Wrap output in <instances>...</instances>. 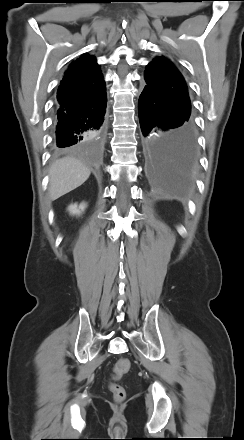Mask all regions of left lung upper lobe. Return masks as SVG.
I'll list each match as a JSON object with an SVG mask.
<instances>
[{
	"instance_id": "obj_1",
	"label": "left lung upper lobe",
	"mask_w": 244,
	"mask_h": 440,
	"mask_svg": "<svg viewBox=\"0 0 244 440\" xmlns=\"http://www.w3.org/2000/svg\"><path fill=\"white\" fill-rule=\"evenodd\" d=\"M146 86L178 107L191 113V104L185 80L177 68L164 57H156L145 71Z\"/></svg>"
}]
</instances>
